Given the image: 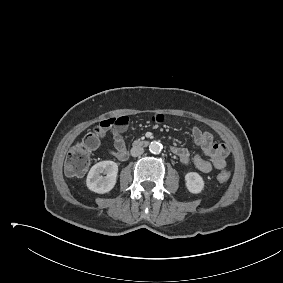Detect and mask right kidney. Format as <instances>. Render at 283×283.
I'll list each match as a JSON object with an SVG mask.
<instances>
[{
	"label": "right kidney",
	"instance_id": "right-kidney-1",
	"mask_svg": "<svg viewBox=\"0 0 283 283\" xmlns=\"http://www.w3.org/2000/svg\"><path fill=\"white\" fill-rule=\"evenodd\" d=\"M102 173L106 174V176H102ZM117 174L118 165L115 162L101 161L91 167L87 175V187L99 194L107 193L114 188Z\"/></svg>",
	"mask_w": 283,
	"mask_h": 283
}]
</instances>
